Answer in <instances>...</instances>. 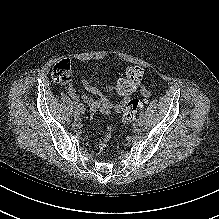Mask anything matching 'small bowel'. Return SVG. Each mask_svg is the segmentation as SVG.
I'll list each match as a JSON object with an SVG mask.
<instances>
[{
  "mask_svg": "<svg viewBox=\"0 0 219 219\" xmlns=\"http://www.w3.org/2000/svg\"><path fill=\"white\" fill-rule=\"evenodd\" d=\"M82 85L90 92L95 93L96 90L93 88V86L90 84V82L88 80H83L82 81ZM67 93L68 95L75 99V100H82L87 106L90 107L91 110H100V107L102 105V103L105 101V99H100V100H94L91 97H88L86 95H80L76 89L73 87L72 84H68V86L66 87ZM143 94L145 96H149V92L144 90ZM124 102L119 103L115 109L119 110L121 108V106L123 105Z\"/></svg>",
  "mask_w": 219,
  "mask_h": 219,
  "instance_id": "1",
  "label": "small bowel"
}]
</instances>
